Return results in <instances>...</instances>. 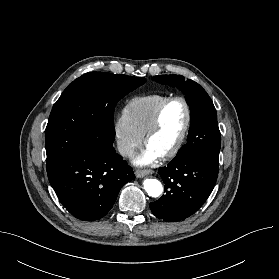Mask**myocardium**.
Segmentation results:
<instances>
[{"label": "myocardium", "mask_w": 279, "mask_h": 279, "mask_svg": "<svg viewBox=\"0 0 279 279\" xmlns=\"http://www.w3.org/2000/svg\"><path fill=\"white\" fill-rule=\"evenodd\" d=\"M174 101H180L183 103L185 110H186V121H185L183 130H182V133L179 136L178 140L175 142V144L167 152H165L162 155H159L162 159H168V158L175 156L179 152L181 147L183 146V144L188 136L190 126H191V121H192V110H191V106H190L189 102L187 101V99L183 96H173V97H169L168 99H166L158 107L150 126L148 127L147 131L144 134V143L148 147L150 138L157 132V130L159 129V127L161 125V120H162V116H163L165 109L167 108V106L169 104H171Z\"/></svg>", "instance_id": "myocardium-1"}]
</instances>
